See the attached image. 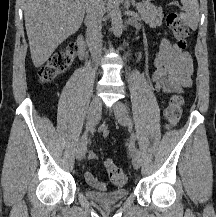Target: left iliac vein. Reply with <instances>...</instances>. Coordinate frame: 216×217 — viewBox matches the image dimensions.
<instances>
[{"instance_id":"1","label":"left iliac vein","mask_w":216,"mask_h":217,"mask_svg":"<svg viewBox=\"0 0 216 217\" xmlns=\"http://www.w3.org/2000/svg\"><path fill=\"white\" fill-rule=\"evenodd\" d=\"M114 114L119 124L122 126L130 125V118L127 107L121 101L115 103ZM132 164L135 169L140 168L141 165L140 152L136 148L132 153Z\"/></svg>"}]
</instances>
